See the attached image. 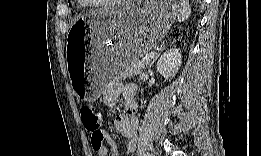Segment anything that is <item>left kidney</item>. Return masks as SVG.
<instances>
[{
  "instance_id": "obj_1",
  "label": "left kidney",
  "mask_w": 261,
  "mask_h": 156,
  "mask_svg": "<svg viewBox=\"0 0 261 156\" xmlns=\"http://www.w3.org/2000/svg\"><path fill=\"white\" fill-rule=\"evenodd\" d=\"M181 53L177 48L166 51L158 60L156 69L165 80L172 79L179 70L181 65Z\"/></svg>"
}]
</instances>
